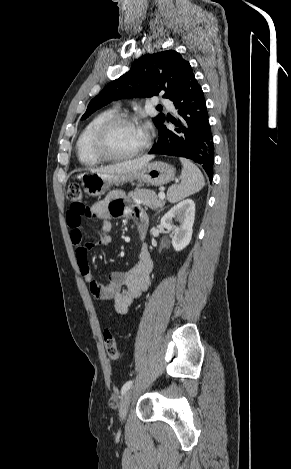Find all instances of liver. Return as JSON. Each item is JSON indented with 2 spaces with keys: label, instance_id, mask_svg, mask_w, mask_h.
<instances>
[{
  "label": "liver",
  "instance_id": "1",
  "mask_svg": "<svg viewBox=\"0 0 291 469\" xmlns=\"http://www.w3.org/2000/svg\"><path fill=\"white\" fill-rule=\"evenodd\" d=\"M153 157L154 156L152 155H145L141 158H137L134 160H129V161H125L122 163L105 166L101 168L91 169L90 171L95 172V173H108V174L134 172V171L141 169L146 164H148V162L152 160Z\"/></svg>",
  "mask_w": 291,
  "mask_h": 469
}]
</instances>
